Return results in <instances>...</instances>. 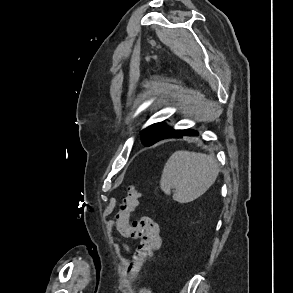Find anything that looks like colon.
Segmentation results:
<instances>
[{"label":"colon","mask_w":293,"mask_h":293,"mask_svg":"<svg viewBox=\"0 0 293 293\" xmlns=\"http://www.w3.org/2000/svg\"><path fill=\"white\" fill-rule=\"evenodd\" d=\"M140 196L138 188L129 186L115 219L116 227L123 236L141 239L140 245L134 253L133 261L128 268V271L132 274L138 273L161 245L157 222L148 217L132 222L129 220L131 213L138 204Z\"/></svg>","instance_id":"colon-1"}]
</instances>
